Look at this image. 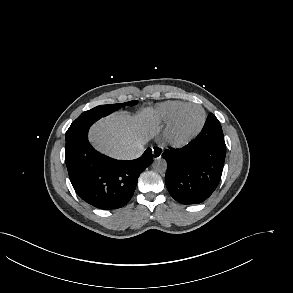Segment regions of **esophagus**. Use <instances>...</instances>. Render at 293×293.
Masks as SVG:
<instances>
[{"label":"esophagus","instance_id":"obj_1","mask_svg":"<svg viewBox=\"0 0 293 293\" xmlns=\"http://www.w3.org/2000/svg\"><path fill=\"white\" fill-rule=\"evenodd\" d=\"M152 153H153L154 159H160L163 153V148L160 146H155L152 148Z\"/></svg>","mask_w":293,"mask_h":293}]
</instances>
